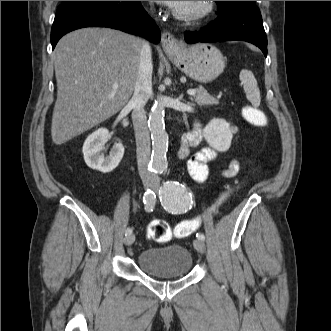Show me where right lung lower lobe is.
Listing matches in <instances>:
<instances>
[{
    "label": "right lung lower lobe",
    "mask_w": 331,
    "mask_h": 331,
    "mask_svg": "<svg viewBox=\"0 0 331 331\" xmlns=\"http://www.w3.org/2000/svg\"><path fill=\"white\" fill-rule=\"evenodd\" d=\"M84 27H109L160 40V30L140 1H75L61 4L51 30L52 49L66 33Z\"/></svg>",
    "instance_id": "98d812e1"
}]
</instances>
